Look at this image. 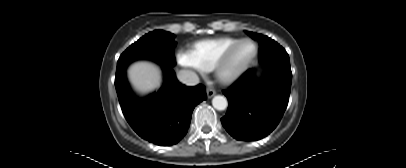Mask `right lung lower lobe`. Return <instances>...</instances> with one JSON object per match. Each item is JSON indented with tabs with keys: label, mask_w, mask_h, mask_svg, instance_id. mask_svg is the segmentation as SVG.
I'll use <instances>...</instances> for the list:
<instances>
[{
	"label": "right lung lower lobe",
	"mask_w": 406,
	"mask_h": 168,
	"mask_svg": "<svg viewBox=\"0 0 406 168\" xmlns=\"http://www.w3.org/2000/svg\"><path fill=\"white\" fill-rule=\"evenodd\" d=\"M162 87L144 98L130 89L125 71L116 72L115 87L123 114L143 139L159 146L178 143L187 133L193 109L207 98L204 86L178 82L171 65H162Z\"/></svg>",
	"instance_id": "right-lung-lower-lobe-1"
}]
</instances>
